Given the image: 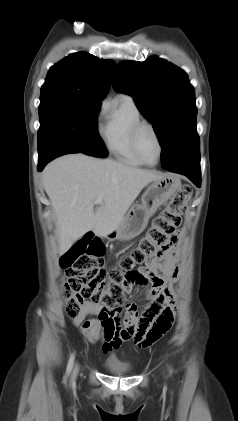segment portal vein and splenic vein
<instances>
[{
    "label": "portal vein and splenic vein",
    "instance_id": "obj_1",
    "mask_svg": "<svg viewBox=\"0 0 238 421\" xmlns=\"http://www.w3.org/2000/svg\"><path fill=\"white\" fill-rule=\"evenodd\" d=\"M102 199H103V196H102V195H100V196H98V197H97V199H96V201H95V202H96L97 204H100V203H102Z\"/></svg>",
    "mask_w": 238,
    "mask_h": 421
}]
</instances>
